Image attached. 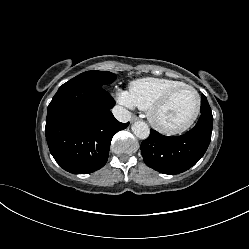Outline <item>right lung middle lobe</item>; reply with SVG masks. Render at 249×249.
I'll list each match as a JSON object with an SVG mask.
<instances>
[{"instance_id":"right-lung-middle-lobe-1","label":"right lung middle lobe","mask_w":249,"mask_h":249,"mask_svg":"<svg viewBox=\"0 0 249 249\" xmlns=\"http://www.w3.org/2000/svg\"><path fill=\"white\" fill-rule=\"evenodd\" d=\"M73 79L89 81L93 84H96L97 86L102 87L115 81L116 75L108 71H87Z\"/></svg>"}]
</instances>
